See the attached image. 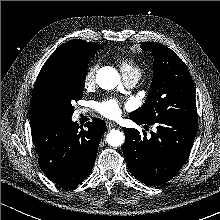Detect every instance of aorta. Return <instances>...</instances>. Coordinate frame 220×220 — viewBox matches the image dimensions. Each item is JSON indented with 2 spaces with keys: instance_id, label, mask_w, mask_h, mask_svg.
<instances>
[{
  "instance_id": "obj_1",
  "label": "aorta",
  "mask_w": 220,
  "mask_h": 220,
  "mask_svg": "<svg viewBox=\"0 0 220 220\" xmlns=\"http://www.w3.org/2000/svg\"><path fill=\"white\" fill-rule=\"evenodd\" d=\"M96 82L100 88L111 90L120 83V75L117 70L112 67H102L96 75ZM107 143L112 147L121 146L124 142V134L119 130H111L106 138Z\"/></svg>"
}]
</instances>
